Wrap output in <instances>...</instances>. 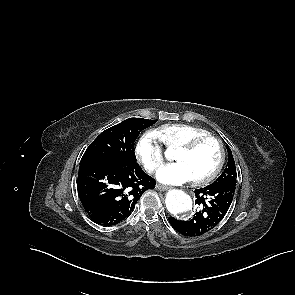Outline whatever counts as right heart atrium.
<instances>
[{"label": "right heart atrium", "instance_id": "right-heart-atrium-1", "mask_svg": "<svg viewBox=\"0 0 295 295\" xmlns=\"http://www.w3.org/2000/svg\"><path fill=\"white\" fill-rule=\"evenodd\" d=\"M136 157L149 172H156L164 162V152L160 140L153 131L144 133L135 147Z\"/></svg>", "mask_w": 295, "mask_h": 295}]
</instances>
